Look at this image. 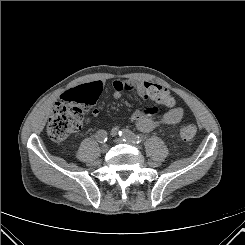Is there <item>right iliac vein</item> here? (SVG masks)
I'll return each mask as SVG.
<instances>
[{
	"mask_svg": "<svg viewBox=\"0 0 245 245\" xmlns=\"http://www.w3.org/2000/svg\"><path fill=\"white\" fill-rule=\"evenodd\" d=\"M108 149H109V146L107 144H103L102 147H101V151L103 153H106L108 151Z\"/></svg>",
	"mask_w": 245,
	"mask_h": 245,
	"instance_id": "obj_1",
	"label": "right iliac vein"
}]
</instances>
